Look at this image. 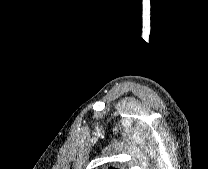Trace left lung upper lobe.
I'll return each instance as SVG.
<instances>
[{
	"label": "left lung upper lobe",
	"instance_id": "obj_1",
	"mask_svg": "<svg viewBox=\"0 0 208 169\" xmlns=\"http://www.w3.org/2000/svg\"><path fill=\"white\" fill-rule=\"evenodd\" d=\"M108 169H115V168L109 167Z\"/></svg>",
	"mask_w": 208,
	"mask_h": 169
}]
</instances>
